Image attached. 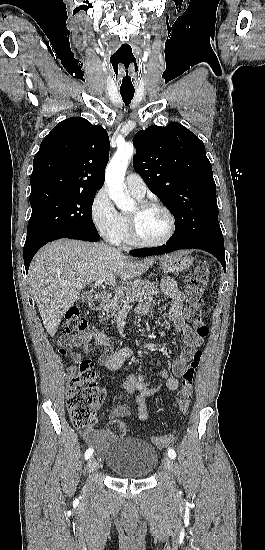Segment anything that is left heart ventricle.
Wrapping results in <instances>:
<instances>
[{"label":"left heart ventricle","mask_w":265,"mask_h":550,"mask_svg":"<svg viewBox=\"0 0 265 550\" xmlns=\"http://www.w3.org/2000/svg\"><path fill=\"white\" fill-rule=\"evenodd\" d=\"M130 214L136 215L137 230L141 239L145 241H159L165 237L169 229V220L159 209L151 208L138 212L135 206Z\"/></svg>","instance_id":"left-heart-ventricle-1"}]
</instances>
